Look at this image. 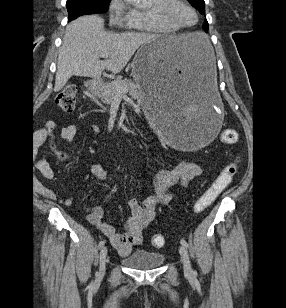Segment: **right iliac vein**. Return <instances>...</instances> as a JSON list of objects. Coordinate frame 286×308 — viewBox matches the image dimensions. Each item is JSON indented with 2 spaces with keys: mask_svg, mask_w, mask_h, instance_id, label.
<instances>
[{
  "mask_svg": "<svg viewBox=\"0 0 286 308\" xmlns=\"http://www.w3.org/2000/svg\"><path fill=\"white\" fill-rule=\"evenodd\" d=\"M107 247H103L99 254V276H103L105 273V267H106V257H107Z\"/></svg>",
  "mask_w": 286,
  "mask_h": 308,
  "instance_id": "obj_1",
  "label": "right iliac vein"
}]
</instances>
